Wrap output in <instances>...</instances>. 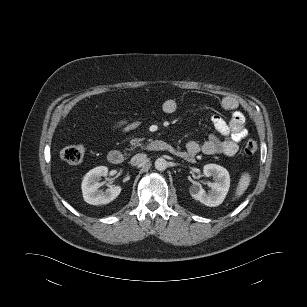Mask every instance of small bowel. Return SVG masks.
Segmentation results:
<instances>
[{"instance_id":"small-bowel-1","label":"small bowel","mask_w":307,"mask_h":307,"mask_svg":"<svg viewBox=\"0 0 307 307\" xmlns=\"http://www.w3.org/2000/svg\"><path fill=\"white\" fill-rule=\"evenodd\" d=\"M220 105L224 110L232 113L229 121L219 113L212 114L211 121L218 135H211L203 143L189 141L185 149L179 152L183 158L192 160L199 153L207 155L224 154L226 156H234L237 153L239 142L248 133L245 128L244 116L239 111V102L233 97L222 98ZM162 109L165 113L172 114L177 111L178 103L173 99L165 100ZM138 126V122L121 120L113 126V130L128 133L137 129Z\"/></svg>"}]
</instances>
